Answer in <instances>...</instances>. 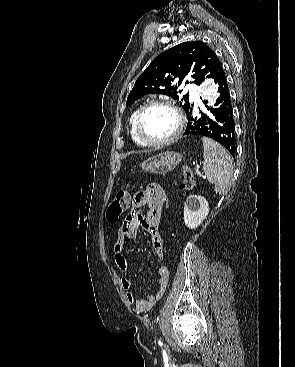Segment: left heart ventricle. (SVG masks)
I'll list each match as a JSON object with an SVG mask.
<instances>
[{"mask_svg":"<svg viewBox=\"0 0 295 367\" xmlns=\"http://www.w3.org/2000/svg\"><path fill=\"white\" fill-rule=\"evenodd\" d=\"M177 127L175 114L166 107L148 109L142 119L143 135L151 141H160L170 137Z\"/></svg>","mask_w":295,"mask_h":367,"instance_id":"b2bd125f","label":"left heart ventricle"}]
</instances>
